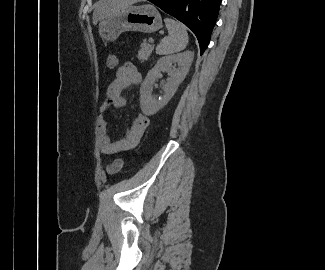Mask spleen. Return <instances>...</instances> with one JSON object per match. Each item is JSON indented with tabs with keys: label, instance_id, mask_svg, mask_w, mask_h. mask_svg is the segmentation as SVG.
Here are the masks:
<instances>
[{
	"label": "spleen",
	"instance_id": "spleen-1",
	"mask_svg": "<svg viewBox=\"0 0 325 270\" xmlns=\"http://www.w3.org/2000/svg\"><path fill=\"white\" fill-rule=\"evenodd\" d=\"M164 22L169 35L160 41L156 47V53L169 55L184 50L188 43V33L185 26L170 18L164 19Z\"/></svg>",
	"mask_w": 325,
	"mask_h": 270
}]
</instances>
